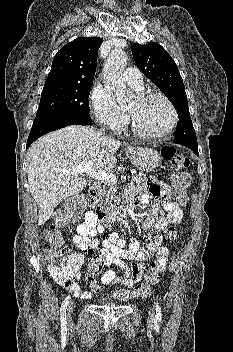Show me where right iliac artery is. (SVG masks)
I'll use <instances>...</instances> for the list:
<instances>
[{
	"mask_svg": "<svg viewBox=\"0 0 233 352\" xmlns=\"http://www.w3.org/2000/svg\"><path fill=\"white\" fill-rule=\"evenodd\" d=\"M70 299H71V297H70V295H68L64 299V301L61 305V309H60V321H61V328L63 330L66 329V324H67V322H66V309H67V306L69 304Z\"/></svg>",
	"mask_w": 233,
	"mask_h": 352,
	"instance_id": "82829eb1",
	"label": "right iliac artery"
}]
</instances>
